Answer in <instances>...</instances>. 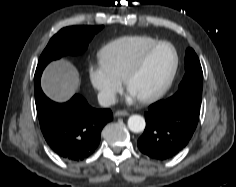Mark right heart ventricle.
<instances>
[{"label": "right heart ventricle", "mask_w": 236, "mask_h": 187, "mask_svg": "<svg viewBox=\"0 0 236 187\" xmlns=\"http://www.w3.org/2000/svg\"><path fill=\"white\" fill-rule=\"evenodd\" d=\"M159 40L148 35H130L114 39L98 52L102 67L123 81L139 55Z\"/></svg>", "instance_id": "right-heart-ventricle-1"}]
</instances>
